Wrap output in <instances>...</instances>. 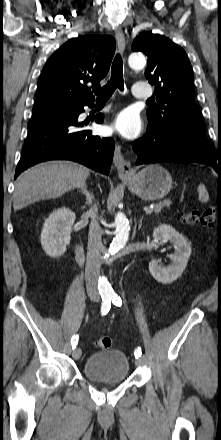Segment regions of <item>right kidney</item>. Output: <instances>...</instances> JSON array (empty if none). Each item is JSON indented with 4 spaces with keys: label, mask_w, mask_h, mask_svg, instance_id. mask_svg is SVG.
I'll list each match as a JSON object with an SVG mask.
<instances>
[{
    "label": "right kidney",
    "mask_w": 221,
    "mask_h": 440,
    "mask_svg": "<svg viewBox=\"0 0 221 440\" xmlns=\"http://www.w3.org/2000/svg\"><path fill=\"white\" fill-rule=\"evenodd\" d=\"M75 214L67 208L53 211L45 220L41 232V245L45 253L52 258L63 255L70 243L71 227Z\"/></svg>",
    "instance_id": "right-kidney-1"
}]
</instances>
